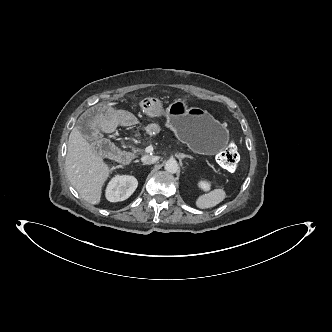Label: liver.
I'll list each match as a JSON object with an SVG mask.
<instances>
[{"label":"liver","instance_id":"obj_1","mask_svg":"<svg viewBox=\"0 0 332 332\" xmlns=\"http://www.w3.org/2000/svg\"><path fill=\"white\" fill-rule=\"evenodd\" d=\"M65 169L68 180L79 195L92 205L99 204L102 187L111 168L76 127L69 135Z\"/></svg>","mask_w":332,"mask_h":332}]
</instances>
